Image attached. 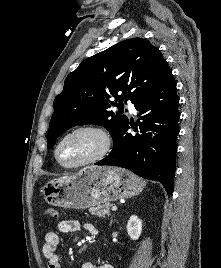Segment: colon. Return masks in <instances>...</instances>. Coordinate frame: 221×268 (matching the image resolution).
Instances as JSON below:
<instances>
[{"instance_id": "colon-1", "label": "colon", "mask_w": 221, "mask_h": 268, "mask_svg": "<svg viewBox=\"0 0 221 268\" xmlns=\"http://www.w3.org/2000/svg\"><path fill=\"white\" fill-rule=\"evenodd\" d=\"M45 216L50 219H57L58 213L54 208L49 207L45 210Z\"/></svg>"}]
</instances>
